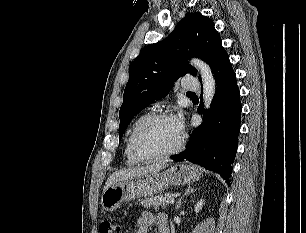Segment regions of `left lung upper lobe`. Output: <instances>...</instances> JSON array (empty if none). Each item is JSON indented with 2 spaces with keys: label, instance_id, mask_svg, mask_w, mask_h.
<instances>
[{
  "label": "left lung upper lobe",
  "instance_id": "5c2ea615",
  "mask_svg": "<svg viewBox=\"0 0 306 233\" xmlns=\"http://www.w3.org/2000/svg\"><path fill=\"white\" fill-rule=\"evenodd\" d=\"M224 53L213 21L201 13H187L167 39L146 46L129 66V81L119 112V139L131 119L153 101L165 97L174 81L186 73L197 74L188 59L199 57L213 69Z\"/></svg>",
  "mask_w": 306,
  "mask_h": 233
}]
</instances>
